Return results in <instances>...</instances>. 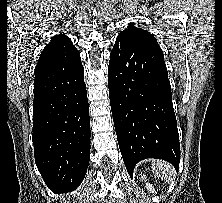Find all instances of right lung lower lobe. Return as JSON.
<instances>
[{"label": "right lung lower lobe", "instance_id": "right-lung-lower-lobe-1", "mask_svg": "<svg viewBox=\"0 0 222 203\" xmlns=\"http://www.w3.org/2000/svg\"><path fill=\"white\" fill-rule=\"evenodd\" d=\"M35 162L54 192L75 189L90 160V118L80 61L35 68Z\"/></svg>", "mask_w": 222, "mask_h": 203}]
</instances>
